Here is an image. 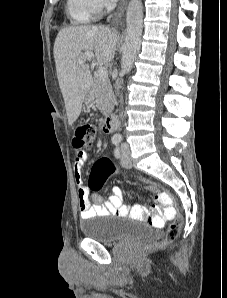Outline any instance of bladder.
<instances>
[{"label":"bladder","instance_id":"bladder-1","mask_svg":"<svg viewBox=\"0 0 227 298\" xmlns=\"http://www.w3.org/2000/svg\"><path fill=\"white\" fill-rule=\"evenodd\" d=\"M80 228L85 237L106 245L147 238L153 233L148 224L129 218L84 221Z\"/></svg>","mask_w":227,"mask_h":298}]
</instances>
